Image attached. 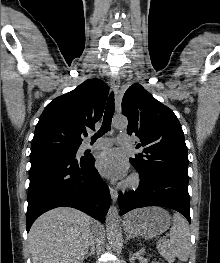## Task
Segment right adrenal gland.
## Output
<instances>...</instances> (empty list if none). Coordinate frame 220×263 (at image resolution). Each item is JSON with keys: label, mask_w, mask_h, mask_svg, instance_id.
<instances>
[{"label": "right adrenal gland", "mask_w": 220, "mask_h": 263, "mask_svg": "<svg viewBox=\"0 0 220 263\" xmlns=\"http://www.w3.org/2000/svg\"><path fill=\"white\" fill-rule=\"evenodd\" d=\"M94 253H95V247L92 246L90 252H88V253L86 254L85 258H87V257H89V256H91V255H93Z\"/></svg>", "instance_id": "obj_1"}]
</instances>
